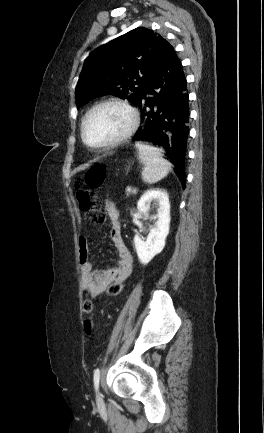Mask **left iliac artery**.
Instances as JSON below:
<instances>
[{
    "mask_svg": "<svg viewBox=\"0 0 264 433\" xmlns=\"http://www.w3.org/2000/svg\"><path fill=\"white\" fill-rule=\"evenodd\" d=\"M93 380H94V386H95V388L98 389V386H99V380H100V370H99V368H97V369L94 371Z\"/></svg>",
    "mask_w": 264,
    "mask_h": 433,
    "instance_id": "44dca946",
    "label": "left iliac artery"
}]
</instances>
